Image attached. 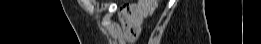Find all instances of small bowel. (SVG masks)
Returning a JSON list of instances; mask_svg holds the SVG:
<instances>
[{"label":"small bowel","instance_id":"small-bowel-1","mask_svg":"<svg viewBox=\"0 0 261 44\" xmlns=\"http://www.w3.org/2000/svg\"><path fill=\"white\" fill-rule=\"evenodd\" d=\"M147 14L148 11L145 4L140 1L137 4L129 5L121 11L120 30L125 40L133 41L137 38L143 19Z\"/></svg>","mask_w":261,"mask_h":44}]
</instances>
